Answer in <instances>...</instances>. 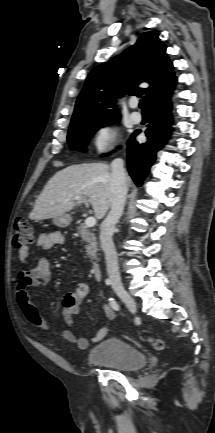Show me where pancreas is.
Instances as JSON below:
<instances>
[{"mask_svg": "<svg viewBox=\"0 0 215 433\" xmlns=\"http://www.w3.org/2000/svg\"><path fill=\"white\" fill-rule=\"evenodd\" d=\"M77 230L83 241L86 242V253L91 259H95L97 257V241L95 234L86 226L85 224H80L77 226Z\"/></svg>", "mask_w": 215, "mask_h": 433, "instance_id": "obj_1", "label": "pancreas"}]
</instances>
